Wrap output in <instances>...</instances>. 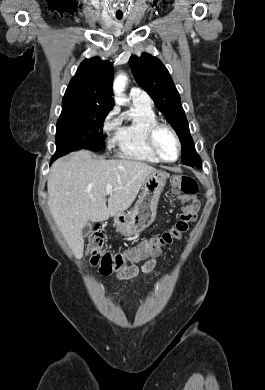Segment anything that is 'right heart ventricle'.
I'll return each instance as SVG.
<instances>
[{"instance_id":"1","label":"right heart ventricle","mask_w":265,"mask_h":390,"mask_svg":"<svg viewBox=\"0 0 265 390\" xmlns=\"http://www.w3.org/2000/svg\"><path fill=\"white\" fill-rule=\"evenodd\" d=\"M157 121V115L151 104L133 103L129 112L119 120V126L112 144L117 154L124 159L146 163H159L156 156L148 149L146 128Z\"/></svg>"}]
</instances>
